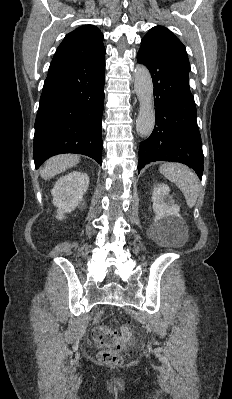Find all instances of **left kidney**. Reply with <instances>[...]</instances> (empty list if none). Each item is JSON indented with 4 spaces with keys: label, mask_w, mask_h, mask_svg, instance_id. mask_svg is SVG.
Wrapping results in <instances>:
<instances>
[{
    "label": "left kidney",
    "mask_w": 232,
    "mask_h": 399,
    "mask_svg": "<svg viewBox=\"0 0 232 399\" xmlns=\"http://www.w3.org/2000/svg\"><path fill=\"white\" fill-rule=\"evenodd\" d=\"M170 188L167 184H158L152 194L154 221L149 229L151 237L156 241H168V239H182L187 235L188 227L181 217L180 205L164 201V196L169 194Z\"/></svg>",
    "instance_id": "5707ae66"
}]
</instances>
